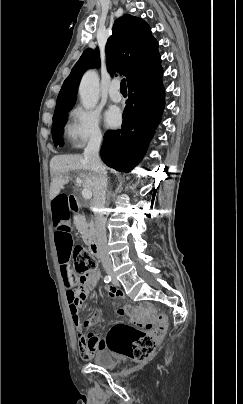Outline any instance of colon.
<instances>
[{
    "mask_svg": "<svg viewBox=\"0 0 243 404\" xmlns=\"http://www.w3.org/2000/svg\"><path fill=\"white\" fill-rule=\"evenodd\" d=\"M96 266L95 257L86 248L77 246L74 249V269L77 274L85 277L95 270ZM165 327L164 316L159 317L158 325L150 332L119 323L109 330L105 344L110 351L116 354L142 361L152 355L157 340Z\"/></svg>",
    "mask_w": 243,
    "mask_h": 404,
    "instance_id": "colon-1",
    "label": "colon"
}]
</instances>
